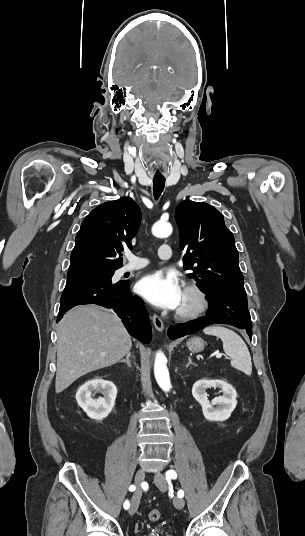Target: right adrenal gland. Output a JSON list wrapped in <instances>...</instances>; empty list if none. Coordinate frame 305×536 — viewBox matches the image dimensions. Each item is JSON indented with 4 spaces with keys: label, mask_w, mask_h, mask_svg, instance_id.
Wrapping results in <instances>:
<instances>
[{
    "label": "right adrenal gland",
    "mask_w": 305,
    "mask_h": 536,
    "mask_svg": "<svg viewBox=\"0 0 305 536\" xmlns=\"http://www.w3.org/2000/svg\"><path fill=\"white\" fill-rule=\"evenodd\" d=\"M130 356H131V352H129V354H127L126 360H121V362H125V364H127V366H129V368H131Z\"/></svg>",
    "instance_id": "right-adrenal-gland-1"
}]
</instances>
